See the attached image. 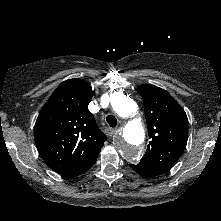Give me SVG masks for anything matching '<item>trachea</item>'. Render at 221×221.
Masks as SVG:
<instances>
[{
	"label": "trachea",
	"instance_id": "3493384b",
	"mask_svg": "<svg viewBox=\"0 0 221 221\" xmlns=\"http://www.w3.org/2000/svg\"><path fill=\"white\" fill-rule=\"evenodd\" d=\"M106 121L109 124L110 127L117 126V119L113 115H108L106 117Z\"/></svg>",
	"mask_w": 221,
	"mask_h": 221
}]
</instances>
